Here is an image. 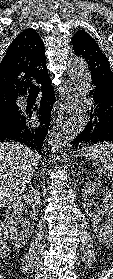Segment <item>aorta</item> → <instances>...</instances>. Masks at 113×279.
I'll return each mask as SVG.
<instances>
[{"label":"aorta","instance_id":"762f6f07","mask_svg":"<svg viewBox=\"0 0 113 279\" xmlns=\"http://www.w3.org/2000/svg\"><path fill=\"white\" fill-rule=\"evenodd\" d=\"M69 76L71 77L79 94V105L73 115L58 136V146H63L75 139L86 127L88 122V111L91 103L87 99V93L91 83V73L83 58L74 57L68 64Z\"/></svg>","mask_w":113,"mask_h":279}]
</instances>
